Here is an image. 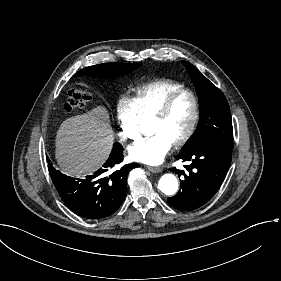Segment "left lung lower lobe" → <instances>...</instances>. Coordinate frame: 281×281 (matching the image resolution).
Wrapping results in <instances>:
<instances>
[{
  "mask_svg": "<svg viewBox=\"0 0 281 281\" xmlns=\"http://www.w3.org/2000/svg\"><path fill=\"white\" fill-rule=\"evenodd\" d=\"M183 161H189L186 167L188 173L171 169L180 175V190L168 198L170 206L182 210H195L207 203L218 191L229 169L232 152L224 151L208 144L183 150L177 157Z\"/></svg>",
  "mask_w": 281,
  "mask_h": 281,
  "instance_id": "0a47b994",
  "label": "left lung lower lobe"
}]
</instances>
